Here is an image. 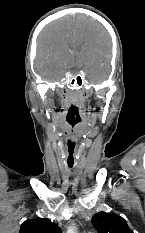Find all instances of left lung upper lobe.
Segmentation results:
<instances>
[{
	"label": "left lung upper lobe",
	"mask_w": 145,
	"mask_h": 233,
	"mask_svg": "<svg viewBox=\"0 0 145 233\" xmlns=\"http://www.w3.org/2000/svg\"><path fill=\"white\" fill-rule=\"evenodd\" d=\"M98 233H133L126 221L113 213L99 212L92 218Z\"/></svg>",
	"instance_id": "1"
}]
</instances>
